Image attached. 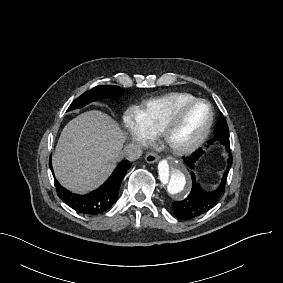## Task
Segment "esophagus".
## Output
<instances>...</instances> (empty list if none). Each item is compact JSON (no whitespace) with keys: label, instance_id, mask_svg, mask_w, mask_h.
<instances>
[{"label":"esophagus","instance_id":"1","mask_svg":"<svg viewBox=\"0 0 283 283\" xmlns=\"http://www.w3.org/2000/svg\"><path fill=\"white\" fill-rule=\"evenodd\" d=\"M145 160L149 164L157 163L159 161V155L156 153H148Z\"/></svg>","mask_w":283,"mask_h":283}]
</instances>
